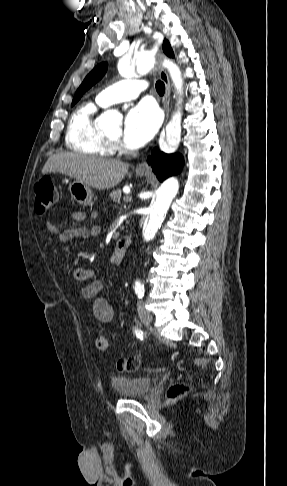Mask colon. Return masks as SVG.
<instances>
[{"mask_svg": "<svg viewBox=\"0 0 287 486\" xmlns=\"http://www.w3.org/2000/svg\"><path fill=\"white\" fill-rule=\"evenodd\" d=\"M35 202L34 207L37 213L44 214L49 211L57 202V189L53 180L48 177L40 178L34 186ZM95 346L98 350L104 351L108 348V340L103 333L95 337ZM141 361L138 357L122 358L117 360L115 366L121 372H133L139 369ZM190 390L186 383H177L170 387L168 396L176 399Z\"/></svg>", "mask_w": 287, "mask_h": 486, "instance_id": "5ec220e1", "label": "colon"}]
</instances>
